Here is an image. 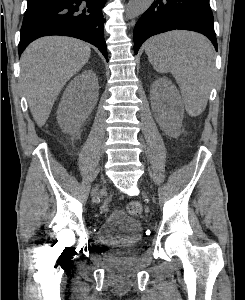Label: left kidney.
<instances>
[{
  "label": "left kidney",
  "instance_id": "1",
  "mask_svg": "<svg viewBox=\"0 0 245 300\" xmlns=\"http://www.w3.org/2000/svg\"><path fill=\"white\" fill-rule=\"evenodd\" d=\"M151 106L159 126L176 135L183 119V104L176 87L165 78L155 80L150 90Z\"/></svg>",
  "mask_w": 245,
  "mask_h": 300
}]
</instances>
